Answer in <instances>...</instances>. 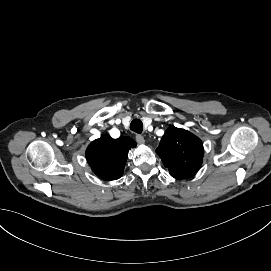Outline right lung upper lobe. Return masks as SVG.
Returning a JSON list of instances; mask_svg holds the SVG:
<instances>
[{
    "mask_svg": "<svg viewBox=\"0 0 271 271\" xmlns=\"http://www.w3.org/2000/svg\"><path fill=\"white\" fill-rule=\"evenodd\" d=\"M136 146L130 137L113 139L102 135L86 150V159L93 172L104 180H116L123 175L128 151Z\"/></svg>",
    "mask_w": 271,
    "mask_h": 271,
    "instance_id": "right-lung-upper-lobe-1",
    "label": "right lung upper lobe"
}]
</instances>
